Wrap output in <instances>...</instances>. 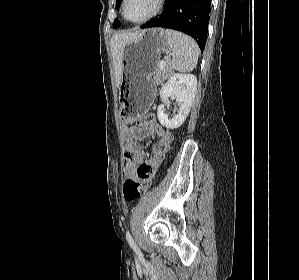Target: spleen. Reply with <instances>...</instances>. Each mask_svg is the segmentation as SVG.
I'll use <instances>...</instances> for the list:
<instances>
[{"instance_id":"obj_1","label":"spleen","mask_w":299,"mask_h":280,"mask_svg":"<svg viewBox=\"0 0 299 280\" xmlns=\"http://www.w3.org/2000/svg\"><path fill=\"white\" fill-rule=\"evenodd\" d=\"M165 35L172 51L171 67L179 72L192 71L198 62L199 48L189 36L178 31L166 29Z\"/></svg>"}]
</instances>
